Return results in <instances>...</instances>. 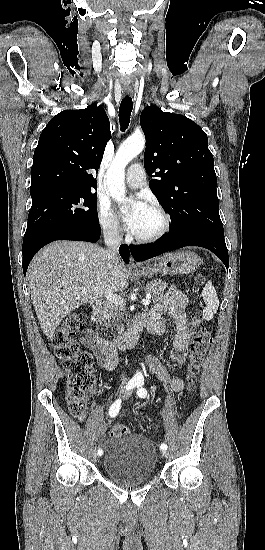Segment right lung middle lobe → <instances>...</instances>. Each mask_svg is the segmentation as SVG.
I'll list each match as a JSON object with an SVG mask.
<instances>
[{"label": "right lung middle lobe", "instance_id": "1", "mask_svg": "<svg viewBox=\"0 0 265 550\" xmlns=\"http://www.w3.org/2000/svg\"><path fill=\"white\" fill-rule=\"evenodd\" d=\"M32 207L25 236L68 223L96 224L97 195L88 190L40 187L30 190Z\"/></svg>", "mask_w": 265, "mask_h": 550}]
</instances>
